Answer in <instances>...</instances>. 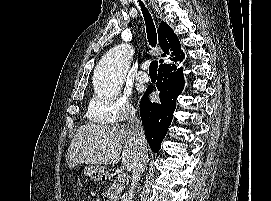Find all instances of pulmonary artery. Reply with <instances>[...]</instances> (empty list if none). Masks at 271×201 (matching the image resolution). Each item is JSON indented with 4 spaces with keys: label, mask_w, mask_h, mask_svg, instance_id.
<instances>
[{
    "label": "pulmonary artery",
    "mask_w": 271,
    "mask_h": 201,
    "mask_svg": "<svg viewBox=\"0 0 271 201\" xmlns=\"http://www.w3.org/2000/svg\"><path fill=\"white\" fill-rule=\"evenodd\" d=\"M148 65L145 63L142 65L141 70L136 74V80L141 83H146L149 81L150 77L146 72Z\"/></svg>",
    "instance_id": "pulmonary-artery-1"
}]
</instances>
